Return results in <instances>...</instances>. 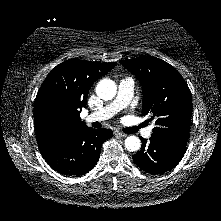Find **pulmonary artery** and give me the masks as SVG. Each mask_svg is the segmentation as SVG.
Returning <instances> with one entry per match:
<instances>
[{"mask_svg": "<svg viewBox=\"0 0 221 221\" xmlns=\"http://www.w3.org/2000/svg\"><path fill=\"white\" fill-rule=\"evenodd\" d=\"M134 91V81L132 78H124L120 80L116 98L108 105L86 116V122L103 121L111 118L117 112L128 106ZM142 135L145 138H150L152 135V126L142 130Z\"/></svg>", "mask_w": 221, "mask_h": 221, "instance_id": "e3ab8cb5", "label": "pulmonary artery"}]
</instances>
